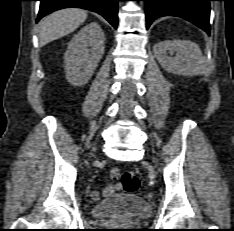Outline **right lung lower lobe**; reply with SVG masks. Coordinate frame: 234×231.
<instances>
[{
    "instance_id": "98d812e1",
    "label": "right lung lower lobe",
    "mask_w": 234,
    "mask_h": 231,
    "mask_svg": "<svg viewBox=\"0 0 234 231\" xmlns=\"http://www.w3.org/2000/svg\"><path fill=\"white\" fill-rule=\"evenodd\" d=\"M40 10L37 21L47 14L67 7H79L99 13L106 18L114 28L118 22V2L120 0H40Z\"/></svg>"
}]
</instances>
